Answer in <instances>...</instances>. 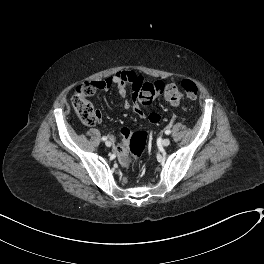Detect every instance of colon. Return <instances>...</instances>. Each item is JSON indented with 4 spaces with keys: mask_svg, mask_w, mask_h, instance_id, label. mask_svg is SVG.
Here are the masks:
<instances>
[{
    "mask_svg": "<svg viewBox=\"0 0 264 264\" xmlns=\"http://www.w3.org/2000/svg\"><path fill=\"white\" fill-rule=\"evenodd\" d=\"M98 86L95 83H82L76 87L72 96V105L86 126H94L100 119V113L89 101V97ZM163 95L170 102H179L183 97L194 100L198 95V87L191 79H183L179 87L175 83L163 84L157 81H144L139 89L136 102L142 106L150 105L158 96ZM147 137L143 132H134L129 141L131 153L130 163L137 164L143 155Z\"/></svg>",
    "mask_w": 264,
    "mask_h": 264,
    "instance_id": "colon-1",
    "label": "colon"
}]
</instances>
